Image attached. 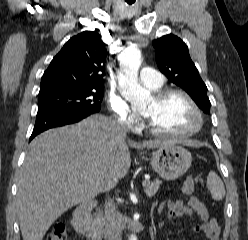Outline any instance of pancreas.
Listing matches in <instances>:
<instances>
[{
  "mask_svg": "<svg viewBox=\"0 0 248 240\" xmlns=\"http://www.w3.org/2000/svg\"><path fill=\"white\" fill-rule=\"evenodd\" d=\"M160 184L161 181L159 180H154L153 182L146 181L144 185V192L148 197H152L158 191ZM92 223L94 234L101 235L104 232L105 219L103 218L102 213L100 211L94 214V219Z\"/></svg>",
  "mask_w": 248,
  "mask_h": 240,
  "instance_id": "obj_1",
  "label": "pancreas"
}]
</instances>
